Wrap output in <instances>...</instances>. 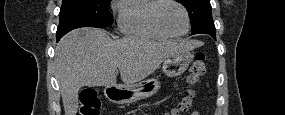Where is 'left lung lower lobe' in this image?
Wrapping results in <instances>:
<instances>
[{
  "label": "left lung lower lobe",
  "instance_id": "0a47b994",
  "mask_svg": "<svg viewBox=\"0 0 285 115\" xmlns=\"http://www.w3.org/2000/svg\"><path fill=\"white\" fill-rule=\"evenodd\" d=\"M206 34L211 35L216 40V29L215 28L206 30Z\"/></svg>",
  "mask_w": 285,
  "mask_h": 115
}]
</instances>
